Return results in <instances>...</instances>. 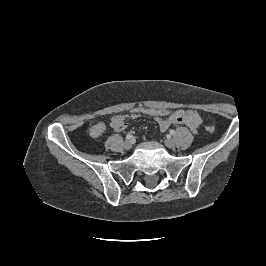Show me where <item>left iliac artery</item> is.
<instances>
[{"label":"left iliac artery","mask_w":266,"mask_h":266,"mask_svg":"<svg viewBox=\"0 0 266 266\" xmlns=\"http://www.w3.org/2000/svg\"><path fill=\"white\" fill-rule=\"evenodd\" d=\"M170 134L171 135H174L175 134V131L174 130H170Z\"/></svg>","instance_id":"left-iliac-artery-1"}]
</instances>
